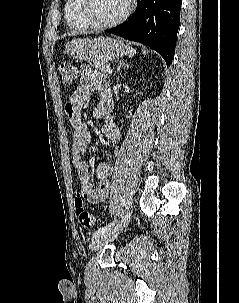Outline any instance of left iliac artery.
<instances>
[{
  "instance_id": "44dca946",
  "label": "left iliac artery",
  "mask_w": 239,
  "mask_h": 303,
  "mask_svg": "<svg viewBox=\"0 0 239 303\" xmlns=\"http://www.w3.org/2000/svg\"><path fill=\"white\" fill-rule=\"evenodd\" d=\"M115 222H116V220L113 221L112 223H109L108 225H106V226H104V227H101V228L97 229V230L94 232V234H93V238H94V237H97V236H99V235H101V234H103V233H105L106 231H108V230L111 228V226H113V225L115 224Z\"/></svg>"
}]
</instances>
